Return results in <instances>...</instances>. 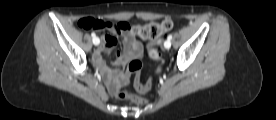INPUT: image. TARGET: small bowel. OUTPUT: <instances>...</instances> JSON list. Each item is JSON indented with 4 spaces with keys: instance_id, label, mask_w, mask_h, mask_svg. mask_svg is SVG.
Instances as JSON below:
<instances>
[{
    "instance_id": "c3829d8e",
    "label": "small bowel",
    "mask_w": 276,
    "mask_h": 120,
    "mask_svg": "<svg viewBox=\"0 0 276 120\" xmlns=\"http://www.w3.org/2000/svg\"><path fill=\"white\" fill-rule=\"evenodd\" d=\"M108 34L102 36V45L93 57L94 64L101 69L107 88L111 94H115L119 86L126 82L125 75L118 72L117 67H124L129 60L137 59L142 55L143 48L135 35L129 30L127 23L104 22ZM117 36H123L124 53L119 54L115 67L109 69L105 66L103 52L110 51L117 44Z\"/></svg>"
}]
</instances>
